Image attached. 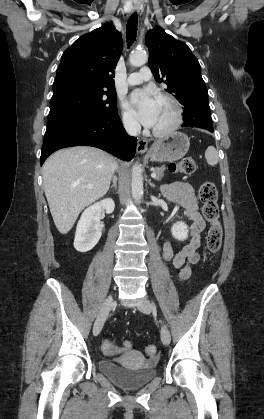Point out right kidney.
<instances>
[{"label": "right kidney", "instance_id": "1", "mask_svg": "<svg viewBox=\"0 0 264 419\" xmlns=\"http://www.w3.org/2000/svg\"><path fill=\"white\" fill-rule=\"evenodd\" d=\"M115 204L111 198H106L89 206L81 215L77 224L74 247L79 252L90 251L100 240L102 232L100 216L102 209L110 214Z\"/></svg>", "mask_w": 264, "mask_h": 419}]
</instances>
